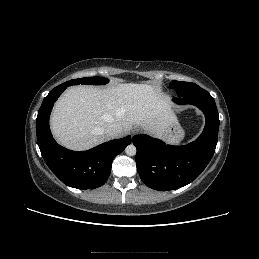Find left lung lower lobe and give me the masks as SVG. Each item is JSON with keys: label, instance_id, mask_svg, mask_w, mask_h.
Segmentation results:
<instances>
[{"label": "left lung lower lobe", "instance_id": "0a47b994", "mask_svg": "<svg viewBox=\"0 0 259 259\" xmlns=\"http://www.w3.org/2000/svg\"><path fill=\"white\" fill-rule=\"evenodd\" d=\"M173 100L197 106L205 114L206 124L202 134L185 146L166 145L143 134L133 137L141 180L148 187L160 191L178 189L195 180L210 162L218 141L219 115L210 94Z\"/></svg>", "mask_w": 259, "mask_h": 259}]
</instances>
